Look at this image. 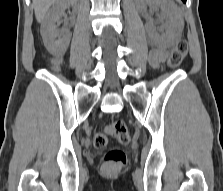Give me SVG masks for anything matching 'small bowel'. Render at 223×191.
Instances as JSON below:
<instances>
[{
    "mask_svg": "<svg viewBox=\"0 0 223 191\" xmlns=\"http://www.w3.org/2000/svg\"><path fill=\"white\" fill-rule=\"evenodd\" d=\"M167 57V51L164 48L158 47L153 49L149 54V62L156 68L162 67Z\"/></svg>",
    "mask_w": 223,
    "mask_h": 191,
    "instance_id": "c3829d8e",
    "label": "small bowel"
}]
</instances>
